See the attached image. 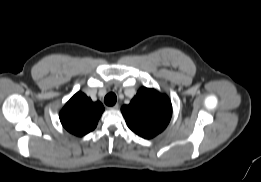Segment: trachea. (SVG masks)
<instances>
[{
	"label": "trachea",
	"mask_w": 261,
	"mask_h": 182,
	"mask_svg": "<svg viewBox=\"0 0 261 182\" xmlns=\"http://www.w3.org/2000/svg\"><path fill=\"white\" fill-rule=\"evenodd\" d=\"M117 101V97L114 93H109L105 96L104 102L108 106H113Z\"/></svg>",
	"instance_id": "3493384b"
}]
</instances>
